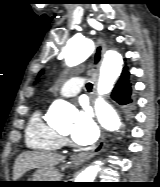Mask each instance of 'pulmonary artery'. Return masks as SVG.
<instances>
[{
    "mask_svg": "<svg viewBox=\"0 0 160 187\" xmlns=\"http://www.w3.org/2000/svg\"><path fill=\"white\" fill-rule=\"evenodd\" d=\"M84 84V79L80 76H75L65 81L59 88L57 95L64 98L77 96Z\"/></svg>",
    "mask_w": 160,
    "mask_h": 187,
    "instance_id": "1",
    "label": "pulmonary artery"
}]
</instances>
